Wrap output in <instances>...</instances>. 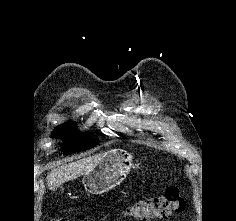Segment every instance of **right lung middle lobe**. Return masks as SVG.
I'll return each instance as SVG.
<instances>
[{
    "instance_id": "obj_1",
    "label": "right lung middle lobe",
    "mask_w": 236,
    "mask_h": 221,
    "mask_svg": "<svg viewBox=\"0 0 236 221\" xmlns=\"http://www.w3.org/2000/svg\"><path fill=\"white\" fill-rule=\"evenodd\" d=\"M52 136L56 138H68L65 143L61 144L65 153L86 150L91 147H94L99 143V141L96 139L87 137L81 133L76 132L75 126L71 123H65L60 126H57L52 132Z\"/></svg>"
}]
</instances>
